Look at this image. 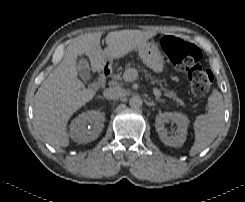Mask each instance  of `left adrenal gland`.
<instances>
[{
    "label": "left adrenal gland",
    "mask_w": 245,
    "mask_h": 202,
    "mask_svg": "<svg viewBox=\"0 0 245 202\" xmlns=\"http://www.w3.org/2000/svg\"><path fill=\"white\" fill-rule=\"evenodd\" d=\"M156 101H157V102H162V103L165 102L164 100H162V99H160V98H156Z\"/></svg>",
    "instance_id": "a2214340"
}]
</instances>
